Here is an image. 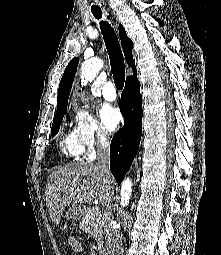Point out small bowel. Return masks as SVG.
<instances>
[{
  "mask_svg": "<svg viewBox=\"0 0 221 255\" xmlns=\"http://www.w3.org/2000/svg\"><path fill=\"white\" fill-rule=\"evenodd\" d=\"M69 247L76 253H82L83 247L80 241L75 236H69L67 239Z\"/></svg>",
  "mask_w": 221,
  "mask_h": 255,
  "instance_id": "small-bowel-1",
  "label": "small bowel"
}]
</instances>
